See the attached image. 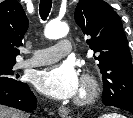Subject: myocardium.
Segmentation results:
<instances>
[{
    "label": "myocardium",
    "mask_w": 133,
    "mask_h": 118,
    "mask_svg": "<svg viewBox=\"0 0 133 118\" xmlns=\"http://www.w3.org/2000/svg\"><path fill=\"white\" fill-rule=\"evenodd\" d=\"M99 94V84L90 74H84L81 89L75 102L79 105H88L95 101Z\"/></svg>",
    "instance_id": "obj_1"
}]
</instances>
